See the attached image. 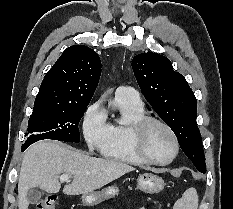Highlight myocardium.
<instances>
[{
	"mask_svg": "<svg viewBox=\"0 0 233 209\" xmlns=\"http://www.w3.org/2000/svg\"><path fill=\"white\" fill-rule=\"evenodd\" d=\"M157 124L163 127L171 136L173 140L174 150L172 156L166 161H157L152 159L145 150V138L147 134L148 128L153 125ZM132 143L133 148L136 154L139 156L147 164L156 165V166H166L172 163L178 155L179 152V140L178 137L173 130V128L164 120L152 117V116H143L138 119L132 126Z\"/></svg>",
	"mask_w": 233,
	"mask_h": 209,
	"instance_id": "1",
	"label": "myocardium"
}]
</instances>
